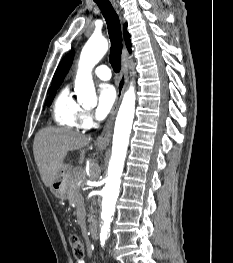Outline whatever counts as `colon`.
Masks as SVG:
<instances>
[{"label": "colon", "mask_w": 233, "mask_h": 263, "mask_svg": "<svg viewBox=\"0 0 233 263\" xmlns=\"http://www.w3.org/2000/svg\"><path fill=\"white\" fill-rule=\"evenodd\" d=\"M69 241L73 250V256L76 261L83 260L85 257V246L81 237L77 234H70Z\"/></svg>", "instance_id": "colon-1"}]
</instances>
